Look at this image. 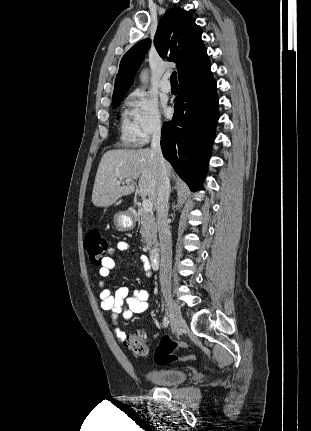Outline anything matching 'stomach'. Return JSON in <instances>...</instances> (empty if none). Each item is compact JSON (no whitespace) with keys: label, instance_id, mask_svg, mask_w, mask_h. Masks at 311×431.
I'll list each match as a JSON object with an SVG mask.
<instances>
[{"label":"stomach","instance_id":"obj_1","mask_svg":"<svg viewBox=\"0 0 311 431\" xmlns=\"http://www.w3.org/2000/svg\"><path fill=\"white\" fill-rule=\"evenodd\" d=\"M114 225L119 231H129L136 225L135 217L130 216L128 212H118L114 216Z\"/></svg>","mask_w":311,"mask_h":431}]
</instances>
